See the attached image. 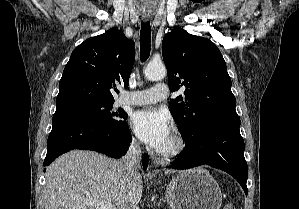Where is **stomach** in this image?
I'll list each match as a JSON object with an SVG mask.
<instances>
[{
	"instance_id": "obj_1",
	"label": "stomach",
	"mask_w": 299,
	"mask_h": 209,
	"mask_svg": "<svg viewBox=\"0 0 299 209\" xmlns=\"http://www.w3.org/2000/svg\"><path fill=\"white\" fill-rule=\"evenodd\" d=\"M165 189L171 209H220L222 204L218 183L202 168L179 172Z\"/></svg>"
}]
</instances>
